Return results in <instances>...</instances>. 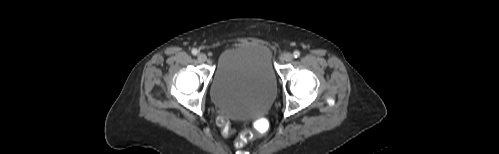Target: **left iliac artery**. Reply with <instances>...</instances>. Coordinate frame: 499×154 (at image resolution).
Listing matches in <instances>:
<instances>
[{"instance_id":"obj_1","label":"left iliac artery","mask_w":499,"mask_h":154,"mask_svg":"<svg viewBox=\"0 0 499 154\" xmlns=\"http://www.w3.org/2000/svg\"><path fill=\"white\" fill-rule=\"evenodd\" d=\"M293 56H294V58H298V57L300 56V52H299V51H297V50H296V51H294V52H293Z\"/></svg>"}]
</instances>
